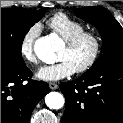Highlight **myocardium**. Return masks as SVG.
<instances>
[{
  "mask_svg": "<svg viewBox=\"0 0 123 123\" xmlns=\"http://www.w3.org/2000/svg\"><path fill=\"white\" fill-rule=\"evenodd\" d=\"M83 39H90L92 41L93 50L87 62L75 69V72L77 73H84L90 70L97 62L102 48L101 37L98 33L91 30H82L72 35L71 37L65 40V46L69 49L74 48Z\"/></svg>",
  "mask_w": 123,
  "mask_h": 123,
  "instance_id": "f54148a6",
  "label": "myocardium"
}]
</instances>
